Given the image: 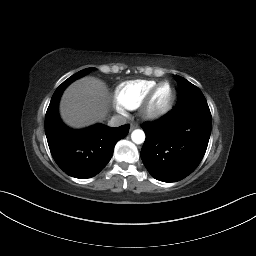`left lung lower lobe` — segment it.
I'll return each instance as SVG.
<instances>
[{
    "instance_id": "1",
    "label": "left lung lower lobe",
    "mask_w": 256,
    "mask_h": 256,
    "mask_svg": "<svg viewBox=\"0 0 256 256\" xmlns=\"http://www.w3.org/2000/svg\"><path fill=\"white\" fill-rule=\"evenodd\" d=\"M142 128L146 133L141 150L145 167L157 180L176 182L201 162L211 134V113L207 103H190Z\"/></svg>"
}]
</instances>
